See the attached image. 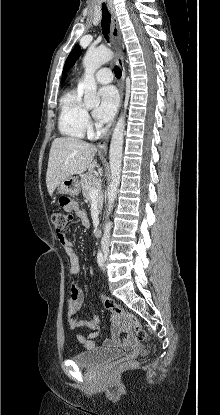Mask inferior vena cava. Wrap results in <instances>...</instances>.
Masks as SVG:
<instances>
[{
	"label": "inferior vena cava",
	"instance_id": "602c4592",
	"mask_svg": "<svg viewBox=\"0 0 220 415\" xmlns=\"http://www.w3.org/2000/svg\"><path fill=\"white\" fill-rule=\"evenodd\" d=\"M110 229H111V224L107 223L105 226V231H104V236L102 239V248L105 251L109 250V245H110Z\"/></svg>",
	"mask_w": 220,
	"mask_h": 415
}]
</instances>
